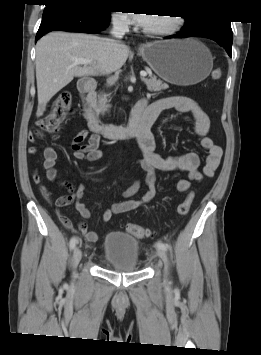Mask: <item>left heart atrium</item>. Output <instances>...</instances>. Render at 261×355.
I'll use <instances>...</instances> for the list:
<instances>
[{
  "label": "left heart atrium",
  "mask_w": 261,
  "mask_h": 355,
  "mask_svg": "<svg viewBox=\"0 0 261 355\" xmlns=\"http://www.w3.org/2000/svg\"><path fill=\"white\" fill-rule=\"evenodd\" d=\"M149 15L147 13H129L130 22L137 24L139 26H145L149 20Z\"/></svg>",
  "instance_id": "1"
}]
</instances>
